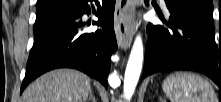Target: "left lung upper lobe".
I'll return each mask as SVG.
<instances>
[{
  "label": "left lung upper lobe",
  "instance_id": "1",
  "mask_svg": "<svg viewBox=\"0 0 221 102\" xmlns=\"http://www.w3.org/2000/svg\"><path fill=\"white\" fill-rule=\"evenodd\" d=\"M177 2L197 11L208 20L213 21V2L212 0H170Z\"/></svg>",
  "mask_w": 221,
  "mask_h": 102
}]
</instances>
